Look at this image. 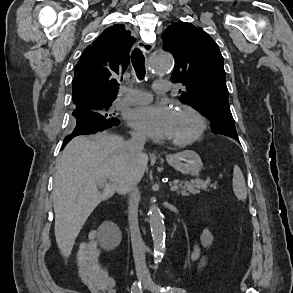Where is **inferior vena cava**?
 Masks as SVG:
<instances>
[{"label": "inferior vena cava", "mask_w": 293, "mask_h": 293, "mask_svg": "<svg viewBox=\"0 0 293 293\" xmlns=\"http://www.w3.org/2000/svg\"><path fill=\"white\" fill-rule=\"evenodd\" d=\"M146 136L141 133H132L131 139L127 142L126 146L128 151L134 155H140L144 148ZM138 180L136 177L129 173L122 180V190L124 193L129 194L128 199V221L131 233V242L133 249V257L135 261L136 270L146 273V261L144 244L138 226V213H137V196H138Z\"/></svg>", "instance_id": "inferior-vena-cava-1"}]
</instances>
